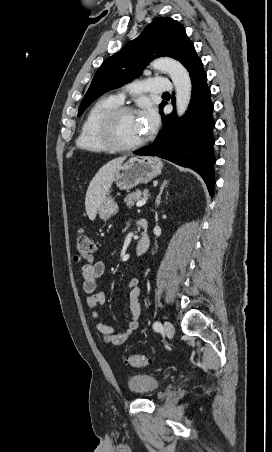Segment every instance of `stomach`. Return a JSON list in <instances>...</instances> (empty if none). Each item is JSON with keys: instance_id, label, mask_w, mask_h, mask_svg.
<instances>
[{"instance_id": "obj_1", "label": "stomach", "mask_w": 272, "mask_h": 452, "mask_svg": "<svg viewBox=\"0 0 272 452\" xmlns=\"http://www.w3.org/2000/svg\"><path fill=\"white\" fill-rule=\"evenodd\" d=\"M163 163L158 158L146 156H132L122 163L114 176V182L121 190L148 183L161 173ZM118 212V205L110 196L104 198L97 213L100 219L107 220Z\"/></svg>"}]
</instances>
